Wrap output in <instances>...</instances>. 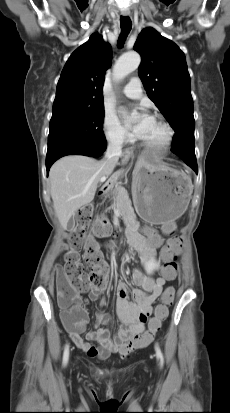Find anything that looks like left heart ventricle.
Wrapping results in <instances>:
<instances>
[{
    "instance_id": "left-heart-ventricle-1",
    "label": "left heart ventricle",
    "mask_w": 230,
    "mask_h": 413,
    "mask_svg": "<svg viewBox=\"0 0 230 413\" xmlns=\"http://www.w3.org/2000/svg\"><path fill=\"white\" fill-rule=\"evenodd\" d=\"M165 136V131L162 126L155 120H152L151 125L145 134L141 137L144 141L147 142H160Z\"/></svg>"
}]
</instances>
